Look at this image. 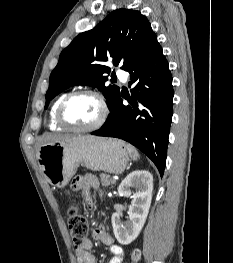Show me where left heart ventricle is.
Here are the masks:
<instances>
[{
  "label": "left heart ventricle",
  "mask_w": 233,
  "mask_h": 263,
  "mask_svg": "<svg viewBox=\"0 0 233 263\" xmlns=\"http://www.w3.org/2000/svg\"><path fill=\"white\" fill-rule=\"evenodd\" d=\"M100 112V105L95 98L79 96L67 104L64 116L73 126L88 127L98 120Z\"/></svg>",
  "instance_id": "obj_1"
}]
</instances>
